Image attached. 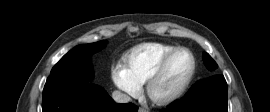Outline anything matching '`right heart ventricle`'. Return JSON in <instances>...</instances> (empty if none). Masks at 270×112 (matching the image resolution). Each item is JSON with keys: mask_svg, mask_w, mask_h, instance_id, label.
Returning <instances> with one entry per match:
<instances>
[{"mask_svg": "<svg viewBox=\"0 0 270 112\" xmlns=\"http://www.w3.org/2000/svg\"><path fill=\"white\" fill-rule=\"evenodd\" d=\"M176 46L164 43H145L132 48L124 57L125 68L131 78L142 85L160 61Z\"/></svg>", "mask_w": 270, "mask_h": 112, "instance_id": "1", "label": "right heart ventricle"}]
</instances>
